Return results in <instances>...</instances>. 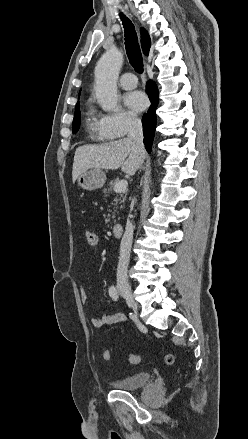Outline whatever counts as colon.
Returning a JSON list of instances; mask_svg holds the SVG:
<instances>
[{"label": "colon", "mask_w": 248, "mask_h": 439, "mask_svg": "<svg viewBox=\"0 0 248 439\" xmlns=\"http://www.w3.org/2000/svg\"><path fill=\"white\" fill-rule=\"evenodd\" d=\"M84 237H85V241H86V243H87L89 246L94 247V246H97V245H98V236H97V234H96L94 231H91V230H87V231H85V233H84ZM102 357H103V359H104L105 361H107V362L112 360V354H111V352H110L109 350H107V349L103 351V353H102ZM164 359H165V362H166L168 365H172V364L174 363V361H175V357H174V355H173V354H170V353H169V354H166L165 357H164ZM127 360H128V362L131 363V364H138L139 361H140V357L137 356V355L129 354V355L127 356Z\"/></svg>", "instance_id": "5ec220e1"}]
</instances>
